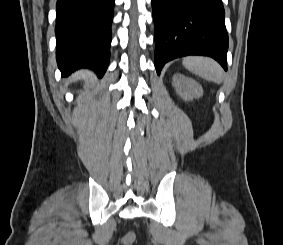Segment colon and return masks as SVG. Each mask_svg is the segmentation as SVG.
Segmentation results:
<instances>
[{"label":"colon","mask_w":283,"mask_h":245,"mask_svg":"<svg viewBox=\"0 0 283 245\" xmlns=\"http://www.w3.org/2000/svg\"><path fill=\"white\" fill-rule=\"evenodd\" d=\"M136 240V233L133 231H130L122 236L121 238V244L123 245H131Z\"/></svg>","instance_id":"obj_1"}]
</instances>
